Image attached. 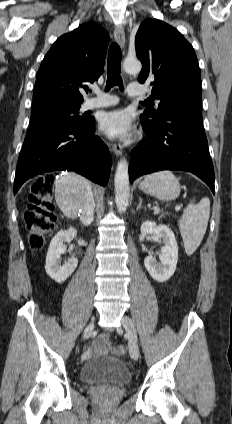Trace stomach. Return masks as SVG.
<instances>
[{
  "instance_id": "0dacf381",
  "label": "stomach",
  "mask_w": 232,
  "mask_h": 424,
  "mask_svg": "<svg viewBox=\"0 0 232 424\" xmlns=\"http://www.w3.org/2000/svg\"><path fill=\"white\" fill-rule=\"evenodd\" d=\"M139 189L161 201L175 200L180 194V184L171 171H160L145 177Z\"/></svg>"
}]
</instances>
